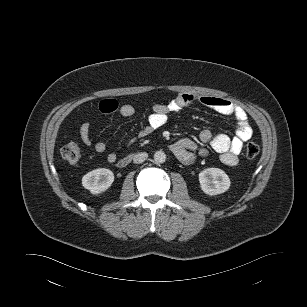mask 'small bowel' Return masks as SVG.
I'll use <instances>...</instances> for the list:
<instances>
[{"instance_id":"c3829d8e","label":"small bowel","mask_w":307,"mask_h":307,"mask_svg":"<svg viewBox=\"0 0 307 307\" xmlns=\"http://www.w3.org/2000/svg\"><path fill=\"white\" fill-rule=\"evenodd\" d=\"M110 101L115 102L114 107L111 105ZM194 103H200L220 114L233 116L237 122L235 135L233 137H229L224 133L213 135L210 130L204 129L199 134L201 143H197L190 138H182L170 145L171 152L181 163L191 164L196 156H204L207 154V149L204 145L208 144L215 152L221 155V161L225 165H237L244 142L252 137L253 129L247 120L245 111L230 100L224 98L184 93L177 95L167 104H154L151 108L147 125L139 131L138 137H145L161 128L165 125L171 113L178 112L184 107ZM99 109L102 113L106 114L117 111L123 117H131L136 111L134 106L130 104L119 105L118 102L113 99L101 101ZM79 136L86 146H93L96 152H106L107 147L104 142H93L90 135L89 123L84 122L80 125ZM105 158L109 163L117 161V156L113 152L107 153Z\"/></svg>"}]
</instances>
